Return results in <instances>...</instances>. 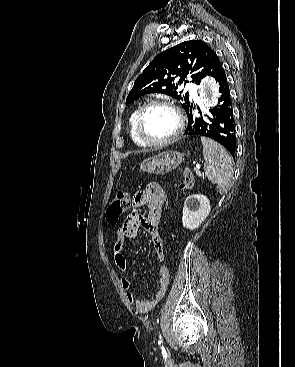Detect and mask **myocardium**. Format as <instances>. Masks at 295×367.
<instances>
[{"label": "myocardium", "instance_id": "obj_1", "mask_svg": "<svg viewBox=\"0 0 295 367\" xmlns=\"http://www.w3.org/2000/svg\"><path fill=\"white\" fill-rule=\"evenodd\" d=\"M158 106L169 108L170 110L174 112L177 118V128L170 137L164 140H160V141H152V140L147 139L144 136L143 131H142V121H143L145 113L149 109L153 107H158ZM183 128H184V117L181 111L173 103L166 101V100H154V101H150L146 103L139 109L136 119H135V132H136L137 137L144 145L150 146V147H162V146H166V145L173 143L180 137V135L182 134Z\"/></svg>", "mask_w": 295, "mask_h": 367}]
</instances>
